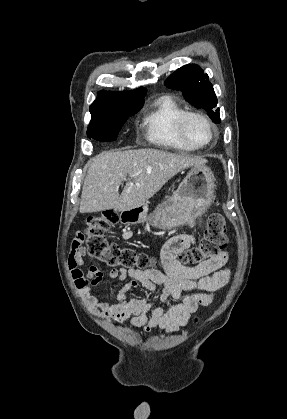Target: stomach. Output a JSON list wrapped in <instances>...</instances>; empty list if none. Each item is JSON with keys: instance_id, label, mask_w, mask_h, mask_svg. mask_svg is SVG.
<instances>
[{"instance_id": "1", "label": "stomach", "mask_w": 287, "mask_h": 419, "mask_svg": "<svg viewBox=\"0 0 287 419\" xmlns=\"http://www.w3.org/2000/svg\"><path fill=\"white\" fill-rule=\"evenodd\" d=\"M215 178L205 166H193L173 195L148 214L146 205L122 210L119 220L123 224L149 221L153 226L171 230L193 222L201 216L214 199Z\"/></svg>"}]
</instances>
